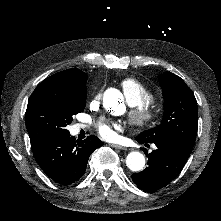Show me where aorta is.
<instances>
[{
  "label": "aorta",
  "instance_id": "762f6f07",
  "mask_svg": "<svg viewBox=\"0 0 221 221\" xmlns=\"http://www.w3.org/2000/svg\"><path fill=\"white\" fill-rule=\"evenodd\" d=\"M126 165L131 171H141L145 166V157L138 151L131 152L126 158Z\"/></svg>",
  "mask_w": 221,
  "mask_h": 221
}]
</instances>
